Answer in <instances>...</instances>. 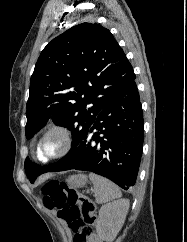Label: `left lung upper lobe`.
<instances>
[{"instance_id": "5c2ea615", "label": "left lung upper lobe", "mask_w": 187, "mask_h": 242, "mask_svg": "<svg viewBox=\"0 0 187 242\" xmlns=\"http://www.w3.org/2000/svg\"><path fill=\"white\" fill-rule=\"evenodd\" d=\"M135 78L114 36L99 24L76 25L49 42L30 80L26 138L52 119L71 130L72 148L49 166L27 157L25 172L29 180L64 161L82 142L99 112Z\"/></svg>"}]
</instances>
